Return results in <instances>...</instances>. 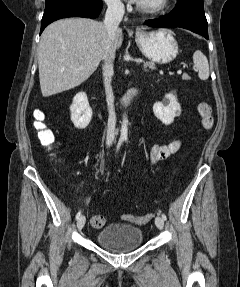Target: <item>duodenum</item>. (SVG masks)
<instances>
[{"instance_id":"410a0bca","label":"duodenum","mask_w":240,"mask_h":287,"mask_svg":"<svg viewBox=\"0 0 240 287\" xmlns=\"http://www.w3.org/2000/svg\"><path fill=\"white\" fill-rule=\"evenodd\" d=\"M138 95H139V90L137 88H133L125 96H123L120 99L119 103L121 105H128L132 101H134Z\"/></svg>"}]
</instances>
